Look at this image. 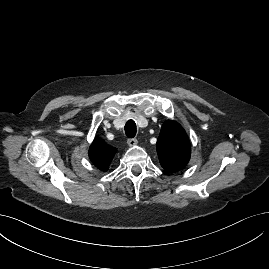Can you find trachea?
<instances>
[{
  "label": "trachea",
  "instance_id": "trachea-1",
  "mask_svg": "<svg viewBox=\"0 0 269 269\" xmlns=\"http://www.w3.org/2000/svg\"><path fill=\"white\" fill-rule=\"evenodd\" d=\"M125 134L129 138H133L136 135V123L133 120H129L125 124Z\"/></svg>",
  "mask_w": 269,
  "mask_h": 269
}]
</instances>
